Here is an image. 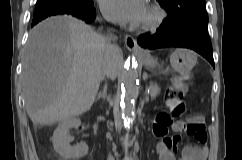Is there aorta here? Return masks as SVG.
Returning a JSON list of instances; mask_svg holds the SVG:
<instances>
[{"label":"aorta","instance_id":"762f6f07","mask_svg":"<svg viewBox=\"0 0 242 160\" xmlns=\"http://www.w3.org/2000/svg\"><path fill=\"white\" fill-rule=\"evenodd\" d=\"M138 72L136 66H130L126 64L125 70L122 76V89L123 98L121 106L123 108L124 123L128 127L132 126L134 115V101L138 96Z\"/></svg>","mask_w":242,"mask_h":160}]
</instances>
